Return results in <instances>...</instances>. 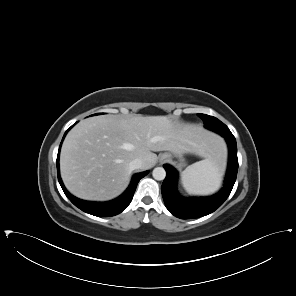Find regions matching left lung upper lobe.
<instances>
[{"label": "left lung upper lobe", "instance_id": "5c2ea615", "mask_svg": "<svg viewBox=\"0 0 296 296\" xmlns=\"http://www.w3.org/2000/svg\"><path fill=\"white\" fill-rule=\"evenodd\" d=\"M198 116L204 121V125L206 128L213 130L220 135H222L223 133H231L228 127L219 119L205 114H198Z\"/></svg>", "mask_w": 296, "mask_h": 296}]
</instances>
